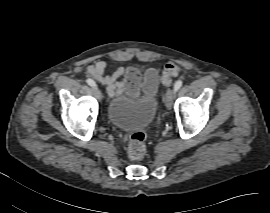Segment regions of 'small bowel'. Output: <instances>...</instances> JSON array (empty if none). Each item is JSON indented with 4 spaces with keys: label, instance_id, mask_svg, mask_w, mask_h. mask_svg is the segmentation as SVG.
I'll return each mask as SVG.
<instances>
[{
    "label": "small bowel",
    "instance_id": "obj_1",
    "mask_svg": "<svg viewBox=\"0 0 270 213\" xmlns=\"http://www.w3.org/2000/svg\"><path fill=\"white\" fill-rule=\"evenodd\" d=\"M107 63L98 60L87 67V74L104 85L110 94L125 92L128 95H135L144 90L149 95L155 93L157 88V70L149 68L144 73L137 67L113 69L106 73Z\"/></svg>",
    "mask_w": 270,
    "mask_h": 213
}]
</instances>
